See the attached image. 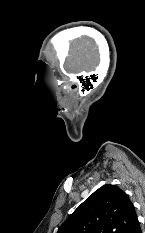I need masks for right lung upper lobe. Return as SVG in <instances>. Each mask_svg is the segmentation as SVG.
<instances>
[{
	"mask_svg": "<svg viewBox=\"0 0 145 233\" xmlns=\"http://www.w3.org/2000/svg\"><path fill=\"white\" fill-rule=\"evenodd\" d=\"M137 221L135 207L119 187L106 184L86 199L57 233H129Z\"/></svg>",
	"mask_w": 145,
	"mask_h": 233,
	"instance_id": "cb5924a9",
	"label": "right lung upper lobe"
}]
</instances>
